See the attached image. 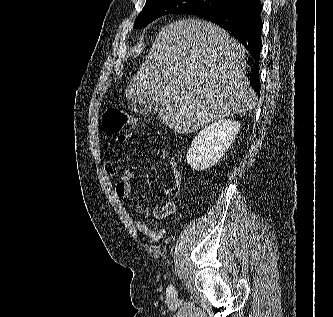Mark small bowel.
I'll return each instance as SVG.
<instances>
[{"label": "small bowel", "mask_w": 333, "mask_h": 317, "mask_svg": "<svg viewBox=\"0 0 333 317\" xmlns=\"http://www.w3.org/2000/svg\"><path fill=\"white\" fill-rule=\"evenodd\" d=\"M133 138L132 133H124L118 136L119 142H126ZM172 171L174 180L171 186L165 189V193L169 196L175 197L178 195L181 187V174L177 168V165L172 162ZM103 168L107 174L114 175L117 172L116 164L113 160L105 155L103 157ZM134 176L133 170L130 167H125L123 172L121 173L119 180L116 184V194L120 199H127L131 194V180ZM180 211L179 203L176 200L168 201L164 206L157 207L153 211V215L157 219H164L167 216H174L173 222L176 221V216ZM136 230L148 237L151 241L156 242L161 240L168 232L169 227L160 228V229H151L148 227L143 221L139 219H134L133 221Z\"/></svg>", "instance_id": "c3829d8e"}]
</instances>
